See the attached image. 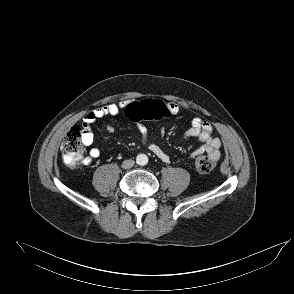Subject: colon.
Masks as SVG:
<instances>
[{"mask_svg":"<svg viewBox=\"0 0 294 294\" xmlns=\"http://www.w3.org/2000/svg\"><path fill=\"white\" fill-rule=\"evenodd\" d=\"M128 119L138 122L141 120H159L170 116V111L162 101L144 100L131 102L125 107ZM61 151L64 162L71 167L82 163L84 152L83 130L80 126L73 127L63 138ZM216 165V159L209 155H202L196 159V168L201 174L210 173Z\"/></svg>","mask_w":294,"mask_h":294,"instance_id":"colon-1","label":"colon"}]
</instances>
